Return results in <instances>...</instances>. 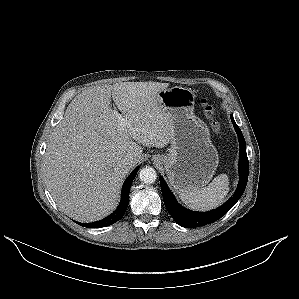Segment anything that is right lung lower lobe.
Masks as SVG:
<instances>
[{
	"mask_svg": "<svg viewBox=\"0 0 299 299\" xmlns=\"http://www.w3.org/2000/svg\"><path fill=\"white\" fill-rule=\"evenodd\" d=\"M138 169H139V167L135 168L133 170V172L128 176L126 181L124 182V185L122 188V193H121L120 204L113 214H111L110 216H108L107 218H105L103 220L96 221L93 223H81V222H76V223L83 227L99 228V227L109 226V225L117 222L118 220H120L123 217V215L127 209L130 187H131V184L137 174Z\"/></svg>",
	"mask_w": 299,
	"mask_h": 299,
	"instance_id": "right-lung-lower-lobe-1",
	"label": "right lung lower lobe"
}]
</instances>
